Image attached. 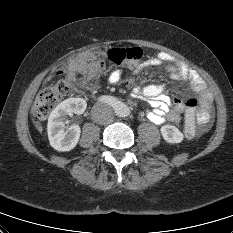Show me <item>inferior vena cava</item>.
Wrapping results in <instances>:
<instances>
[{"instance_id":"602c4592","label":"inferior vena cava","mask_w":233,"mask_h":233,"mask_svg":"<svg viewBox=\"0 0 233 233\" xmlns=\"http://www.w3.org/2000/svg\"><path fill=\"white\" fill-rule=\"evenodd\" d=\"M113 118V111L107 104L99 103L94 107L93 119L95 122L109 124L113 121Z\"/></svg>"}]
</instances>
